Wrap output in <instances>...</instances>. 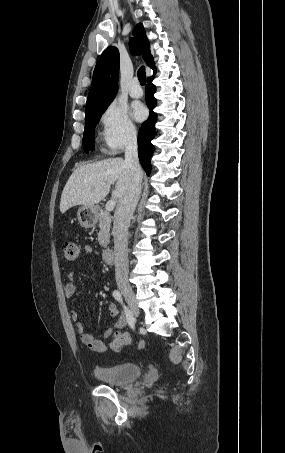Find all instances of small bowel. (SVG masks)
Returning <instances> with one entry per match:
<instances>
[{"instance_id": "obj_1", "label": "small bowel", "mask_w": 285, "mask_h": 453, "mask_svg": "<svg viewBox=\"0 0 285 453\" xmlns=\"http://www.w3.org/2000/svg\"><path fill=\"white\" fill-rule=\"evenodd\" d=\"M83 252L86 255H93L96 253L95 250L93 249V247H91L89 245H87L83 248ZM74 277H75V272L70 271L67 274L66 279L64 281L63 291H64V295L67 298H70L75 294ZM108 309H109L111 315L116 318V322L114 324V327L108 328L104 331V333H103L104 338H109L114 333L115 330L124 328L128 323L126 315H124V313L118 309L115 302L111 301L108 304ZM70 316H71V319L75 322V328H76L77 333L80 336L81 342L90 351H93L96 353H102L107 350V344L104 341L95 339L91 333L85 331V326H84L83 322H81L79 320L78 311L72 310L70 312Z\"/></svg>"}]
</instances>
